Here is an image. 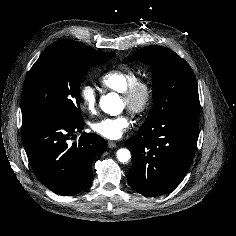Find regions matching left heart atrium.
<instances>
[{
	"label": "left heart atrium",
	"instance_id": "39dd6f15",
	"mask_svg": "<svg viewBox=\"0 0 236 236\" xmlns=\"http://www.w3.org/2000/svg\"><path fill=\"white\" fill-rule=\"evenodd\" d=\"M130 126V118L123 114L116 117H106L91 124L93 131L112 140L122 137Z\"/></svg>",
	"mask_w": 236,
	"mask_h": 236
}]
</instances>
